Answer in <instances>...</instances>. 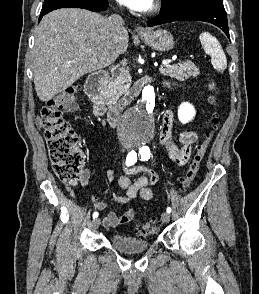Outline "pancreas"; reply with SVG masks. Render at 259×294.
Segmentation results:
<instances>
[{
  "label": "pancreas",
  "instance_id": "pancreas-1",
  "mask_svg": "<svg viewBox=\"0 0 259 294\" xmlns=\"http://www.w3.org/2000/svg\"><path fill=\"white\" fill-rule=\"evenodd\" d=\"M160 73L175 78L179 81H185L192 77H197L199 69L191 61H185L174 65H165L160 68ZM131 84V77L126 69H121L119 75L113 76L106 87V94L110 104H115L120 96L126 94Z\"/></svg>",
  "mask_w": 259,
  "mask_h": 294
}]
</instances>
